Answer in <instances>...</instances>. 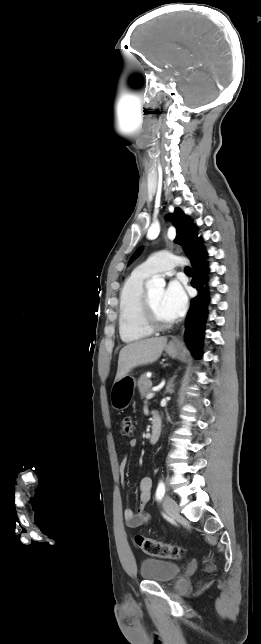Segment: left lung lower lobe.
<instances>
[{"mask_svg":"<svg viewBox=\"0 0 261 644\" xmlns=\"http://www.w3.org/2000/svg\"><path fill=\"white\" fill-rule=\"evenodd\" d=\"M205 258L191 261L194 269V278L191 284L199 293L195 298L191 299L190 308L186 316L185 343L196 359L201 355L204 327L208 317V304L210 301L207 276L209 269H207L208 265L205 263Z\"/></svg>","mask_w":261,"mask_h":644,"instance_id":"left-lung-lower-lobe-1","label":"left lung lower lobe"}]
</instances>
